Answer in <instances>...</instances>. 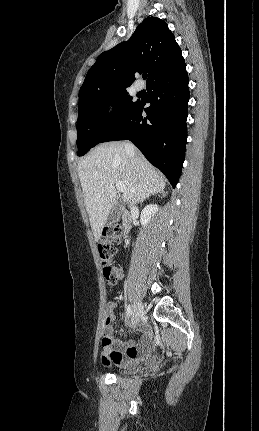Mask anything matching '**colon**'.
Instances as JSON below:
<instances>
[{
	"instance_id": "5ec220e1",
	"label": "colon",
	"mask_w": 259,
	"mask_h": 431,
	"mask_svg": "<svg viewBox=\"0 0 259 431\" xmlns=\"http://www.w3.org/2000/svg\"><path fill=\"white\" fill-rule=\"evenodd\" d=\"M123 230L116 225L104 228L100 242L98 243V252L103 266V275L106 282L110 285L117 284L123 277L122 269L114 264L117 255L115 244L123 241ZM110 339L104 335L102 344H109Z\"/></svg>"
}]
</instances>
